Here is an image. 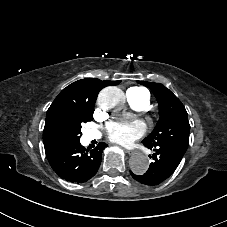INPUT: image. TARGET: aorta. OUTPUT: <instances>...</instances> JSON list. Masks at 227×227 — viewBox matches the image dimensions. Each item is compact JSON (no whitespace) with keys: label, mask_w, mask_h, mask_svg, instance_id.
<instances>
[{"label":"aorta","mask_w":227,"mask_h":227,"mask_svg":"<svg viewBox=\"0 0 227 227\" xmlns=\"http://www.w3.org/2000/svg\"><path fill=\"white\" fill-rule=\"evenodd\" d=\"M124 101V92L118 87H106L98 96V103L103 110L119 108ZM129 166L133 173L144 174L149 168V160L144 154L137 153L131 157Z\"/></svg>","instance_id":"obj_1"}]
</instances>
